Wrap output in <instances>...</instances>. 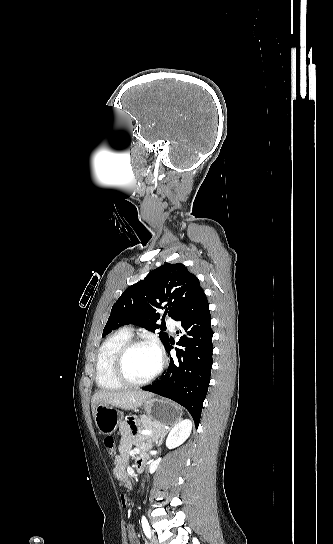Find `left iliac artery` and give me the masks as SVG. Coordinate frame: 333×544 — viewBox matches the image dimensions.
Listing matches in <instances>:
<instances>
[{"mask_svg": "<svg viewBox=\"0 0 333 544\" xmlns=\"http://www.w3.org/2000/svg\"><path fill=\"white\" fill-rule=\"evenodd\" d=\"M141 523H142V528L146 537L151 538L150 526L145 516H142Z\"/></svg>", "mask_w": 333, "mask_h": 544, "instance_id": "44dca946", "label": "left iliac artery"}]
</instances>
